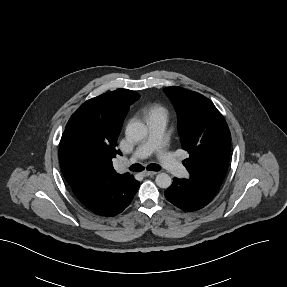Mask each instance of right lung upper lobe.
<instances>
[{
  "label": "right lung upper lobe",
  "mask_w": 287,
  "mask_h": 287,
  "mask_svg": "<svg viewBox=\"0 0 287 287\" xmlns=\"http://www.w3.org/2000/svg\"><path fill=\"white\" fill-rule=\"evenodd\" d=\"M139 97L135 91L117 89L84 102L71 116L77 119L84 138L97 150V159L89 169L62 170L72 190L104 179L129 175V173L122 175L116 173L112 159L116 154H121L116 149L117 139L130 105Z\"/></svg>",
  "instance_id": "1"
}]
</instances>
